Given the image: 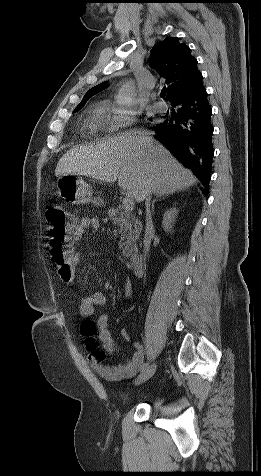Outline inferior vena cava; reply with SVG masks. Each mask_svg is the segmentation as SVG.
Listing matches in <instances>:
<instances>
[{
    "instance_id": "1",
    "label": "inferior vena cava",
    "mask_w": 261,
    "mask_h": 476,
    "mask_svg": "<svg viewBox=\"0 0 261 476\" xmlns=\"http://www.w3.org/2000/svg\"><path fill=\"white\" fill-rule=\"evenodd\" d=\"M150 195L151 191L146 189L145 191V205H146V229H145V236H144V256L148 255L150 251V244L152 239V231H153V224L150 212Z\"/></svg>"
}]
</instances>
